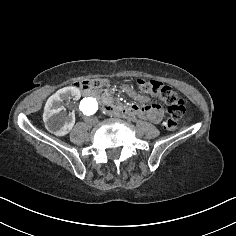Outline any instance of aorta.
Returning a JSON list of instances; mask_svg holds the SVG:
<instances>
[{"label": "aorta", "instance_id": "obj_1", "mask_svg": "<svg viewBox=\"0 0 236 236\" xmlns=\"http://www.w3.org/2000/svg\"><path fill=\"white\" fill-rule=\"evenodd\" d=\"M79 109L84 118L91 117L98 111V101L94 97H85L81 101Z\"/></svg>", "mask_w": 236, "mask_h": 236}]
</instances>
